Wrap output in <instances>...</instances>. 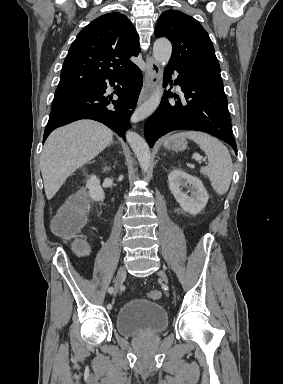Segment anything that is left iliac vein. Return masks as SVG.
Masks as SVG:
<instances>
[{"label": "left iliac vein", "instance_id": "4c4485c4", "mask_svg": "<svg viewBox=\"0 0 283 384\" xmlns=\"http://www.w3.org/2000/svg\"><path fill=\"white\" fill-rule=\"evenodd\" d=\"M158 276L161 277V279L164 281V283H166V284L168 283V278H167V276H166L164 271L160 270L158 272Z\"/></svg>", "mask_w": 283, "mask_h": 384}]
</instances>
